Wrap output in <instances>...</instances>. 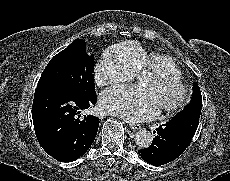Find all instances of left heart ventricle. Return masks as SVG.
I'll use <instances>...</instances> for the list:
<instances>
[{"label": "left heart ventricle", "instance_id": "1", "mask_svg": "<svg viewBox=\"0 0 230 181\" xmlns=\"http://www.w3.org/2000/svg\"><path fill=\"white\" fill-rule=\"evenodd\" d=\"M139 90L147 104L152 108L170 103L178 95L177 87L166 80L144 82V86Z\"/></svg>", "mask_w": 230, "mask_h": 181}]
</instances>
